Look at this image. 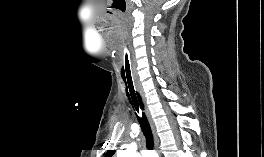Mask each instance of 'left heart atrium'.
<instances>
[{
	"label": "left heart atrium",
	"mask_w": 264,
	"mask_h": 157,
	"mask_svg": "<svg viewBox=\"0 0 264 157\" xmlns=\"http://www.w3.org/2000/svg\"><path fill=\"white\" fill-rule=\"evenodd\" d=\"M148 157H156L155 155H151V156H148Z\"/></svg>",
	"instance_id": "39dd6f15"
}]
</instances>
